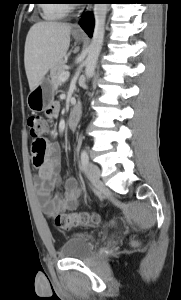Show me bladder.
<instances>
[{
    "mask_svg": "<svg viewBox=\"0 0 181 300\" xmlns=\"http://www.w3.org/2000/svg\"><path fill=\"white\" fill-rule=\"evenodd\" d=\"M96 237L90 233H74L64 244L62 255L66 259H85L95 247Z\"/></svg>",
    "mask_w": 181,
    "mask_h": 300,
    "instance_id": "bladder-1",
    "label": "bladder"
}]
</instances>
